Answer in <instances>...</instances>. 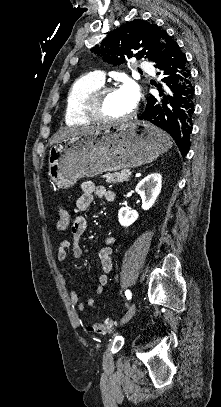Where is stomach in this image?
Segmentation results:
<instances>
[{
	"instance_id": "stomach-1",
	"label": "stomach",
	"mask_w": 221,
	"mask_h": 407,
	"mask_svg": "<svg viewBox=\"0 0 221 407\" xmlns=\"http://www.w3.org/2000/svg\"><path fill=\"white\" fill-rule=\"evenodd\" d=\"M170 146V137L146 122L109 126L56 143L49 152V176L68 189L82 177L151 163Z\"/></svg>"
}]
</instances>
